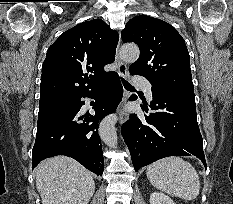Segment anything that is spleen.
Here are the masks:
<instances>
[{
    "mask_svg": "<svg viewBox=\"0 0 233 204\" xmlns=\"http://www.w3.org/2000/svg\"><path fill=\"white\" fill-rule=\"evenodd\" d=\"M146 175L157 189L190 201L199 195L200 181L195 168L180 157H167L149 165Z\"/></svg>",
    "mask_w": 233,
    "mask_h": 204,
    "instance_id": "spleen-1",
    "label": "spleen"
}]
</instances>
